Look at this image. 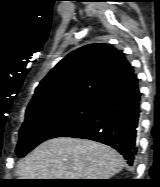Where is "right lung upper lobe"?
<instances>
[{
	"label": "right lung upper lobe",
	"instance_id": "cb5924a9",
	"mask_svg": "<svg viewBox=\"0 0 160 187\" xmlns=\"http://www.w3.org/2000/svg\"><path fill=\"white\" fill-rule=\"evenodd\" d=\"M133 73L124 54L113 46H83L63 58L40 82L27 110L76 99H100Z\"/></svg>",
	"mask_w": 160,
	"mask_h": 187
}]
</instances>
